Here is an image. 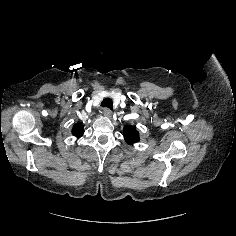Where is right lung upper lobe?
Instances as JSON below:
<instances>
[{
	"mask_svg": "<svg viewBox=\"0 0 236 236\" xmlns=\"http://www.w3.org/2000/svg\"><path fill=\"white\" fill-rule=\"evenodd\" d=\"M84 133L83 126L81 124H75L72 129V134L76 137H80Z\"/></svg>",
	"mask_w": 236,
	"mask_h": 236,
	"instance_id": "right-lung-upper-lobe-1",
	"label": "right lung upper lobe"
}]
</instances>
